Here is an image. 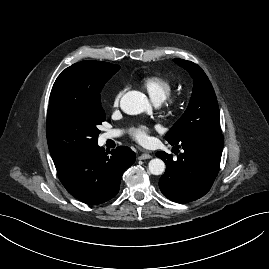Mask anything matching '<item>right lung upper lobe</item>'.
Masks as SVG:
<instances>
[{
    "mask_svg": "<svg viewBox=\"0 0 269 269\" xmlns=\"http://www.w3.org/2000/svg\"><path fill=\"white\" fill-rule=\"evenodd\" d=\"M103 63L107 64V65L110 66V67L118 66V65H113V64L107 63V62H103ZM91 87H92V85H91L90 83H87V88H88V90H89ZM74 88H75V87L72 86V89H74Z\"/></svg>",
    "mask_w": 269,
    "mask_h": 269,
    "instance_id": "right-lung-upper-lobe-1",
    "label": "right lung upper lobe"
}]
</instances>
